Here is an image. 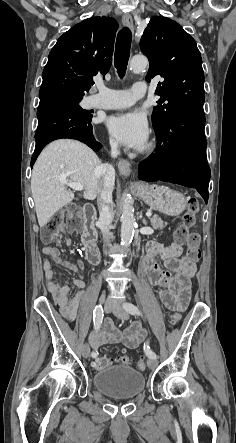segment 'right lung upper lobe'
<instances>
[{
    "label": "right lung upper lobe",
    "mask_w": 236,
    "mask_h": 443,
    "mask_svg": "<svg viewBox=\"0 0 236 443\" xmlns=\"http://www.w3.org/2000/svg\"><path fill=\"white\" fill-rule=\"evenodd\" d=\"M117 21L112 17L88 18L64 33L49 53L39 96H83L105 75L112 63Z\"/></svg>",
    "instance_id": "cb5924a9"
}]
</instances>
